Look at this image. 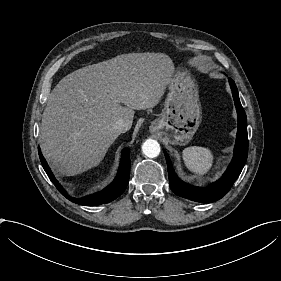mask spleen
<instances>
[{"label":"spleen","instance_id":"3e777b00","mask_svg":"<svg viewBox=\"0 0 281 281\" xmlns=\"http://www.w3.org/2000/svg\"><path fill=\"white\" fill-rule=\"evenodd\" d=\"M182 160L190 172L203 176L212 169L214 154L209 148L191 146L182 150Z\"/></svg>","mask_w":281,"mask_h":281}]
</instances>
